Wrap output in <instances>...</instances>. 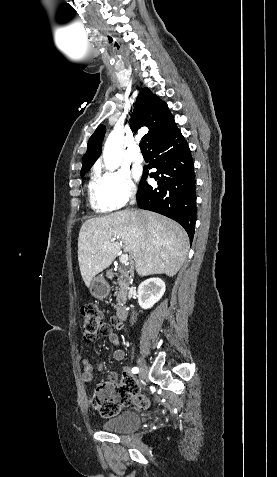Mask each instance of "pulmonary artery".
Here are the masks:
<instances>
[{
	"label": "pulmonary artery",
	"mask_w": 277,
	"mask_h": 477,
	"mask_svg": "<svg viewBox=\"0 0 277 477\" xmlns=\"http://www.w3.org/2000/svg\"><path fill=\"white\" fill-rule=\"evenodd\" d=\"M132 158L137 163L143 162L144 158H143V155L141 154L140 149L138 147H135Z\"/></svg>",
	"instance_id": "1"
}]
</instances>
